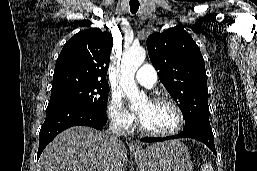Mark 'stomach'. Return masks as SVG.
Wrapping results in <instances>:
<instances>
[{"label": "stomach", "mask_w": 257, "mask_h": 171, "mask_svg": "<svg viewBox=\"0 0 257 171\" xmlns=\"http://www.w3.org/2000/svg\"><path fill=\"white\" fill-rule=\"evenodd\" d=\"M139 171H193L190 155L180 140L154 143L133 150Z\"/></svg>", "instance_id": "1"}]
</instances>
